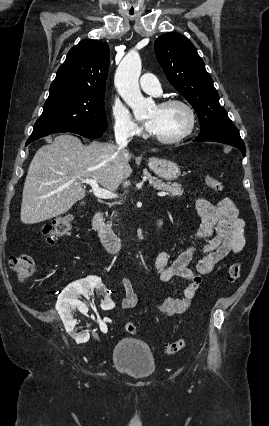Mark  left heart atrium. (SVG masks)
Here are the masks:
<instances>
[{
    "instance_id": "1",
    "label": "left heart atrium",
    "mask_w": 269,
    "mask_h": 426,
    "mask_svg": "<svg viewBox=\"0 0 269 426\" xmlns=\"http://www.w3.org/2000/svg\"><path fill=\"white\" fill-rule=\"evenodd\" d=\"M145 125H146V127L148 128V130H149V127H150V125H151L150 121H146Z\"/></svg>"
}]
</instances>
